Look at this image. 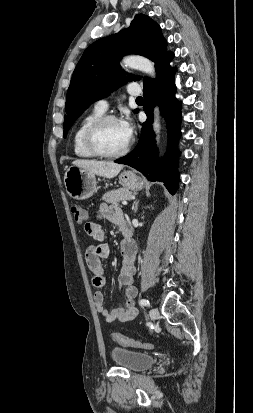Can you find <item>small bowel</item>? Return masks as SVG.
I'll return each instance as SVG.
<instances>
[{
	"label": "small bowel",
	"mask_w": 253,
	"mask_h": 413,
	"mask_svg": "<svg viewBox=\"0 0 253 413\" xmlns=\"http://www.w3.org/2000/svg\"><path fill=\"white\" fill-rule=\"evenodd\" d=\"M97 215L99 218H105L116 224L123 234L126 221L119 208L102 203L97 208ZM84 230L98 242L97 245H89L85 251V260L92 273V284L98 289L94 293V301L98 312L108 323H126L133 320L138 314L135 306L137 288L134 286L137 253L135 243L125 238L121 242V270L118 276V284L123 289L124 300L116 308L109 310L105 307L104 293L100 289L106 285V273L102 259L109 256L110 248L105 243L104 232L98 223L88 221L84 225Z\"/></svg>",
	"instance_id": "c3829d8e"
}]
</instances>
